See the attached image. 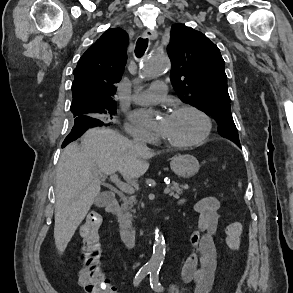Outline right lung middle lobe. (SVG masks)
Here are the masks:
<instances>
[{
	"mask_svg": "<svg viewBox=\"0 0 293 293\" xmlns=\"http://www.w3.org/2000/svg\"><path fill=\"white\" fill-rule=\"evenodd\" d=\"M73 113V116L76 117L75 110H71ZM92 112H95V118H98L102 121H108L111 120L113 115L116 113L115 104H105L98 108H94L91 110Z\"/></svg>",
	"mask_w": 293,
	"mask_h": 293,
	"instance_id": "right-lung-middle-lobe-1",
	"label": "right lung middle lobe"
}]
</instances>
